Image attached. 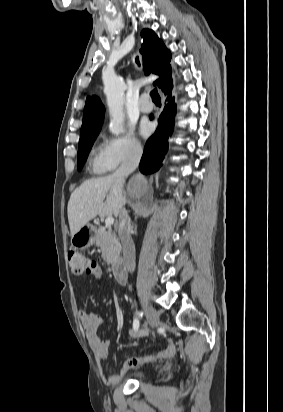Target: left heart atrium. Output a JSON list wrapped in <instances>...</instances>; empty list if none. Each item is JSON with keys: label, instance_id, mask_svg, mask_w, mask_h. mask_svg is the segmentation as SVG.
Returning <instances> with one entry per match:
<instances>
[{"label": "left heart atrium", "instance_id": "39dd6f15", "mask_svg": "<svg viewBox=\"0 0 283 412\" xmlns=\"http://www.w3.org/2000/svg\"><path fill=\"white\" fill-rule=\"evenodd\" d=\"M153 127L149 122H142L140 126V134L143 137H148L152 133Z\"/></svg>", "mask_w": 283, "mask_h": 412}]
</instances>
